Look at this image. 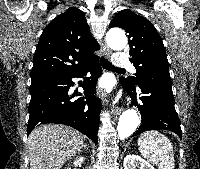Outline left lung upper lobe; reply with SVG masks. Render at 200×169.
Here are the masks:
<instances>
[{
	"label": "left lung upper lobe",
	"instance_id": "left-lung-upper-lobe-1",
	"mask_svg": "<svg viewBox=\"0 0 200 169\" xmlns=\"http://www.w3.org/2000/svg\"><path fill=\"white\" fill-rule=\"evenodd\" d=\"M110 27H121L129 34L130 61L137 71L135 77L120 78L121 83L131 88L145 82L172 85L164 45L152 23L125 9L114 16Z\"/></svg>",
	"mask_w": 200,
	"mask_h": 169
}]
</instances>
